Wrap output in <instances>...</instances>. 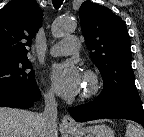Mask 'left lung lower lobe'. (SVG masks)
<instances>
[{"instance_id":"1","label":"left lung lower lobe","mask_w":144,"mask_h":137,"mask_svg":"<svg viewBox=\"0 0 144 137\" xmlns=\"http://www.w3.org/2000/svg\"><path fill=\"white\" fill-rule=\"evenodd\" d=\"M77 122L103 118L129 119L144 127V110L139 96L105 100L97 97L94 101L68 109Z\"/></svg>"}]
</instances>
